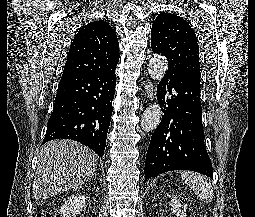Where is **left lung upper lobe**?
<instances>
[{"mask_svg":"<svg viewBox=\"0 0 255 217\" xmlns=\"http://www.w3.org/2000/svg\"><path fill=\"white\" fill-rule=\"evenodd\" d=\"M151 48L167 58L168 70L200 85L199 46L186 20L172 13L159 14L151 29Z\"/></svg>","mask_w":255,"mask_h":217,"instance_id":"5c2ea615","label":"left lung upper lobe"}]
</instances>
